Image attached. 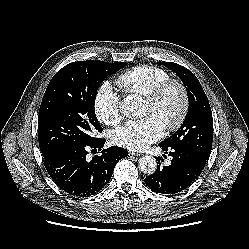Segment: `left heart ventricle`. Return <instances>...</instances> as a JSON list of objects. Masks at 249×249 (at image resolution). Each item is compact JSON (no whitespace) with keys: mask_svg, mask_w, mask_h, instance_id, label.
Listing matches in <instances>:
<instances>
[{"mask_svg":"<svg viewBox=\"0 0 249 249\" xmlns=\"http://www.w3.org/2000/svg\"><path fill=\"white\" fill-rule=\"evenodd\" d=\"M179 105V95L177 91L172 88L170 89L161 103L158 106H152L147 101H144L143 114L144 115H154L156 116L164 126L170 122L178 109Z\"/></svg>","mask_w":249,"mask_h":249,"instance_id":"obj_1","label":"left heart ventricle"}]
</instances>
